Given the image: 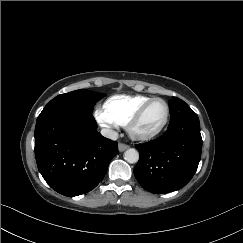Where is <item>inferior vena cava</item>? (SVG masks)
<instances>
[{"label":"inferior vena cava","instance_id":"obj_1","mask_svg":"<svg viewBox=\"0 0 243 243\" xmlns=\"http://www.w3.org/2000/svg\"><path fill=\"white\" fill-rule=\"evenodd\" d=\"M101 134L102 136L109 138L111 140H117L118 138V133L112 129H108V128H103L101 130Z\"/></svg>","mask_w":243,"mask_h":243}]
</instances>
